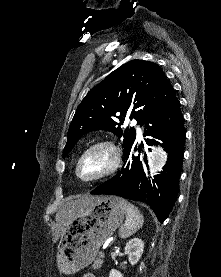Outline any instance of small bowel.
<instances>
[{
	"instance_id": "c3829d8e",
	"label": "small bowel",
	"mask_w": 221,
	"mask_h": 277,
	"mask_svg": "<svg viewBox=\"0 0 221 277\" xmlns=\"http://www.w3.org/2000/svg\"><path fill=\"white\" fill-rule=\"evenodd\" d=\"M84 277H95V276L92 274H86Z\"/></svg>"
}]
</instances>
